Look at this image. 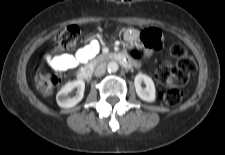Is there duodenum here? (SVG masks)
<instances>
[{"instance_id":"410a0bca","label":"duodenum","mask_w":225,"mask_h":155,"mask_svg":"<svg viewBox=\"0 0 225 155\" xmlns=\"http://www.w3.org/2000/svg\"><path fill=\"white\" fill-rule=\"evenodd\" d=\"M108 58L112 61L119 62L121 65H123L126 68H129L132 66V61L128 56L122 53H112L108 56ZM93 64H90L84 68H82L78 74L77 77L81 81H87L91 78L92 71H93Z\"/></svg>"}]
</instances>
